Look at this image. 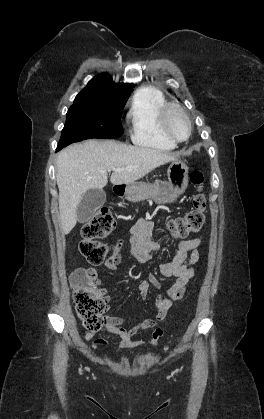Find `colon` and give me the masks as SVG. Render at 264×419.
<instances>
[{"instance_id": "colon-1", "label": "colon", "mask_w": 264, "mask_h": 419, "mask_svg": "<svg viewBox=\"0 0 264 419\" xmlns=\"http://www.w3.org/2000/svg\"><path fill=\"white\" fill-rule=\"evenodd\" d=\"M191 182L197 187L198 192L193 196V208L182 217L172 219L168 227L176 238H183L199 231L204 223L205 198L201 193L203 175L194 170L190 174ZM115 228L112 214L102 209L82 227V237L79 244L80 253L86 260L94 265L106 262L115 267L120 262V248L116 245L109 250L99 241L110 234ZM70 285L73 289L76 310L83 321L85 328L91 332L100 330L105 323L103 313L107 302L100 294L94 280L84 270L75 271L70 276Z\"/></svg>"}]
</instances>
